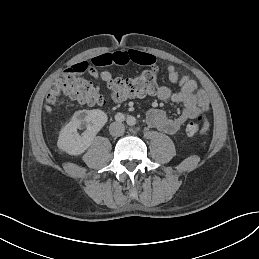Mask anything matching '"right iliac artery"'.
<instances>
[{"instance_id":"right-iliac-artery-1","label":"right iliac artery","mask_w":259,"mask_h":259,"mask_svg":"<svg viewBox=\"0 0 259 259\" xmlns=\"http://www.w3.org/2000/svg\"><path fill=\"white\" fill-rule=\"evenodd\" d=\"M115 120L118 121V122H123V121L125 120L124 114H122V113H117V114L115 115Z\"/></svg>"}]
</instances>
